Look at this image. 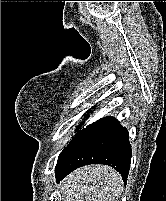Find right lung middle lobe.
Listing matches in <instances>:
<instances>
[{"instance_id":"1","label":"right lung middle lobe","mask_w":166,"mask_h":201,"mask_svg":"<svg viewBox=\"0 0 166 201\" xmlns=\"http://www.w3.org/2000/svg\"><path fill=\"white\" fill-rule=\"evenodd\" d=\"M81 127V125L75 130V131H78V129Z\"/></svg>"}]
</instances>
